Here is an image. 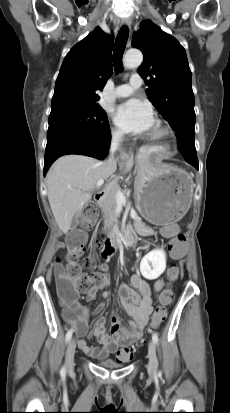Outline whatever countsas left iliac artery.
<instances>
[{"instance_id": "1", "label": "left iliac artery", "mask_w": 230, "mask_h": 413, "mask_svg": "<svg viewBox=\"0 0 230 413\" xmlns=\"http://www.w3.org/2000/svg\"><path fill=\"white\" fill-rule=\"evenodd\" d=\"M152 340H153V342L155 343V344H157L158 343V335H157V333H153V335H152Z\"/></svg>"}]
</instances>
